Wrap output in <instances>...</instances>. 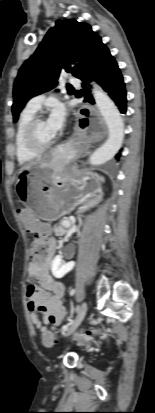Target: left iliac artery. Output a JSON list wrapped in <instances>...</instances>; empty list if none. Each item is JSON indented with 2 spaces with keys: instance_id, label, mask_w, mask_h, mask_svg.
<instances>
[{
  "instance_id": "44dca946",
  "label": "left iliac artery",
  "mask_w": 155,
  "mask_h": 413,
  "mask_svg": "<svg viewBox=\"0 0 155 413\" xmlns=\"http://www.w3.org/2000/svg\"><path fill=\"white\" fill-rule=\"evenodd\" d=\"M74 294H75V290L72 289V290L70 291V295L73 296Z\"/></svg>"
}]
</instances>
